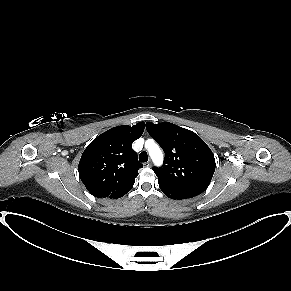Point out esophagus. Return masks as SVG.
Wrapping results in <instances>:
<instances>
[{
	"label": "esophagus",
	"instance_id": "1",
	"mask_svg": "<svg viewBox=\"0 0 291 291\" xmlns=\"http://www.w3.org/2000/svg\"><path fill=\"white\" fill-rule=\"evenodd\" d=\"M144 167H151V161L144 163Z\"/></svg>",
	"mask_w": 291,
	"mask_h": 291
}]
</instances>
